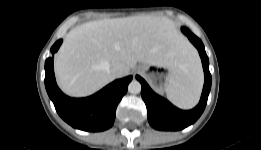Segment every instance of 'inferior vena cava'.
Instances as JSON below:
<instances>
[{"instance_id":"inferior-vena-cava-1","label":"inferior vena cava","mask_w":261,"mask_h":150,"mask_svg":"<svg viewBox=\"0 0 261 150\" xmlns=\"http://www.w3.org/2000/svg\"><path fill=\"white\" fill-rule=\"evenodd\" d=\"M127 70H128L127 67L122 63H116V64L111 66V73L115 77L124 76L126 74Z\"/></svg>"}]
</instances>
